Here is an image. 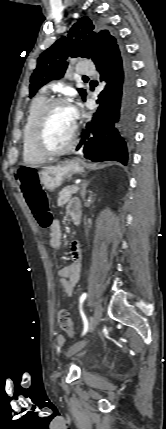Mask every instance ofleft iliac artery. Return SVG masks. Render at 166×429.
Listing matches in <instances>:
<instances>
[{
    "mask_svg": "<svg viewBox=\"0 0 166 429\" xmlns=\"http://www.w3.org/2000/svg\"><path fill=\"white\" fill-rule=\"evenodd\" d=\"M86 297H87L86 293H83L81 295V297H80V305H79V307H80V313H81V316H82V319H83V322H84V329H83L82 335H85L86 332L88 331V320H87V318H86V316H85V314H84V312L82 310V304H83L84 300L86 299Z\"/></svg>",
    "mask_w": 166,
    "mask_h": 429,
    "instance_id": "obj_1",
    "label": "left iliac artery"
}]
</instances>
